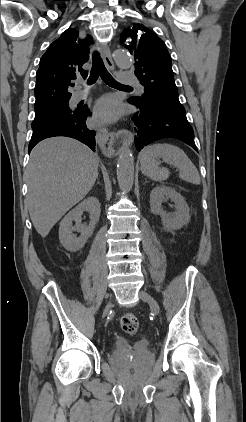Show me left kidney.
Masks as SVG:
<instances>
[{"mask_svg":"<svg viewBox=\"0 0 246 422\" xmlns=\"http://www.w3.org/2000/svg\"><path fill=\"white\" fill-rule=\"evenodd\" d=\"M165 198H170L175 203V211L167 213L162 208ZM150 208L153 214L161 217L163 227L166 231L181 229L190 221V209L184 197L175 189L168 186H156L150 193Z\"/></svg>","mask_w":246,"mask_h":422,"instance_id":"1","label":"left kidney"}]
</instances>
